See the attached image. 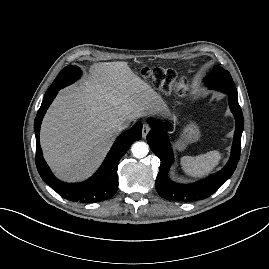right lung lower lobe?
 Instances as JSON below:
<instances>
[{"label":"right lung lower lobe","instance_id":"98d812e1","mask_svg":"<svg viewBox=\"0 0 269 269\" xmlns=\"http://www.w3.org/2000/svg\"><path fill=\"white\" fill-rule=\"evenodd\" d=\"M58 87L45 94L40 109L34 121L36 135V166L41 178L63 198L80 203L100 202L111 198L118 189V162L130 148L131 143L139 140L142 134V123L137 122L130 130L122 133L114 142L108 155L98 171L82 183L68 184L54 177L45 162L39 143V133L42 119L56 97Z\"/></svg>","mask_w":269,"mask_h":269}]
</instances>
